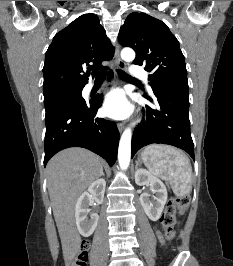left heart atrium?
Wrapping results in <instances>:
<instances>
[{"mask_svg":"<svg viewBox=\"0 0 233 266\" xmlns=\"http://www.w3.org/2000/svg\"><path fill=\"white\" fill-rule=\"evenodd\" d=\"M132 111L125 92L122 89H114L105 95L103 101V112L113 119H124Z\"/></svg>","mask_w":233,"mask_h":266,"instance_id":"39dd6f15","label":"left heart atrium"}]
</instances>
